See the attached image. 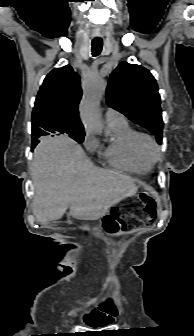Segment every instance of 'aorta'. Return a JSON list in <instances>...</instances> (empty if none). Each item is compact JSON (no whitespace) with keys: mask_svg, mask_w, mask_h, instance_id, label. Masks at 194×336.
<instances>
[{"mask_svg":"<svg viewBox=\"0 0 194 336\" xmlns=\"http://www.w3.org/2000/svg\"><path fill=\"white\" fill-rule=\"evenodd\" d=\"M106 90V84L101 79L91 80L80 103V116L85 128L93 133L101 134L104 124L99 111V103Z\"/></svg>","mask_w":194,"mask_h":336,"instance_id":"obj_1","label":"aorta"}]
</instances>
